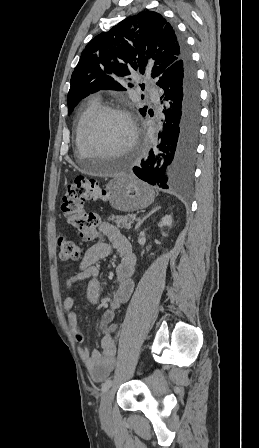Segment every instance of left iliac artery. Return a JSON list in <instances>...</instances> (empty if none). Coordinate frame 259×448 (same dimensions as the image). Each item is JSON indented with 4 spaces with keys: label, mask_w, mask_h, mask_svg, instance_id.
<instances>
[{
    "label": "left iliac artery",
    "mask_w": 259,
    "mask_h": 448,
    "mask_svg": "<svg viewBox=\"0 0 259 448\" xmlns=\"http://www.w3.org/2000/svg\"><path fill=\"white\" fill-rule=\"evenodd\" d=\"M112 383H113L112 380H107L105 383L102 384L101 391L102 392L107 391L111 387Z\"/></svg>",
    "instance_id": "44dca946"
}]
</instances>
